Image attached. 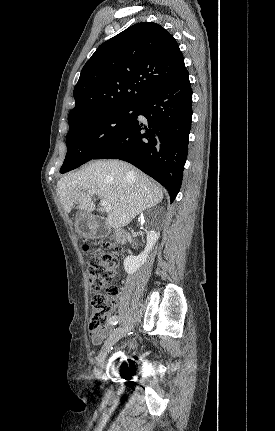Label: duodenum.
<instances>
[{
	"instance_id": "duodenum-1",
	"label": "duodenum",
	"mask_w": 275,
	"mask_h": 431,
	"mask_svg": "<svg viewBox=\"0 0 275 431\" xmlns=\"http://www.w3.org/2000/svg\"><path fill=\"white\" fill-rule=\"evenodd\" d=\"M89 234L93 237H99L102 234V230L96 221H92L89 225ZM114 237L118 244L123 245L127 240V234L123 229H115Z\"/></svg>"
}]
</instances>
